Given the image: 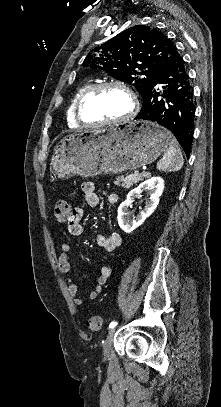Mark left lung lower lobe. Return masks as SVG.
I'll list each match as a JSON object with an SVG mask.
<instances>
[{"mask_svg": "<svg viewBox=\"0 0 221 407\" xmlns=\"http://www.w3.org/2000/svg\"><path fill=\"white\" fill-rule=\"evenodd\" d=\"M142 98L143 105L135 119L150 120L170 130L189 157L194 133V94L185 62L174 45Z\"/></svg>", "mask_w": 221, "mask_h": 407, "instance_id": "left-lung-lower-lobe-1", "label": "left lung lower lobe"}]
</instances>
